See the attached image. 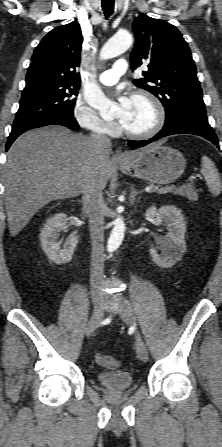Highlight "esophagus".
Segmentation results:
<instances>
[{"label": "esophagus", "instance_id": "34e87169", "mask_svg": "<svg viewBox=\"0 0 222 447\" xmlns=\"http://www.w3.org/2000/svg\"><path fill=\"white\" fill-rule=\"evenodd\" d=\"M125 158V154L121 152L119 149L116 150V159L118 161H123Z\"/></svg>", "mask_w": 222, "mask_h": 447}]
</instances>
